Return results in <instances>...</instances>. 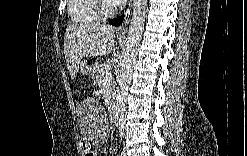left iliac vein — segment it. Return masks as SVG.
Masks as SVG:
<instances>
[{"label": "left iliac vein", "instance_id": "1", "mask_svg": "<svg viewBox=\"0 0 247 156\" xmlns=\"http://www.w3.org/2000/svg\"><path fill=\"white\" fill-rule=\"evenodd\" d=\"M122 155L126 156V153H125V152H123V153H122Z\"/></svg>", "mask_w": 247, "mask_h": 156}]
</instances>
